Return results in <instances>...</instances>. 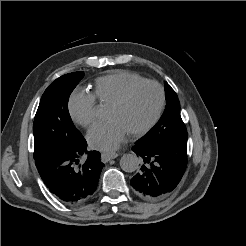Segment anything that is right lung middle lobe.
Segmentation results:
<instances>
[{
  "label": "right lung middle lobe",
  "mask_w": 246,
  "mask_h": 246,
  "mask_svg": "<svg viewBox=\"0 0 246 246\" xmlns=\"http://www.w3.org/2000/svg\"><path fill=\"white\" fill-rule=\"evenodd\" d=\"M83 77L82 71L63 75L43 93L33 123L35 160L54 150L71 147L81 138L70 117L68 100Z\"/></svg>",
  "instance_id": "obj_1"
}]
</instances>
